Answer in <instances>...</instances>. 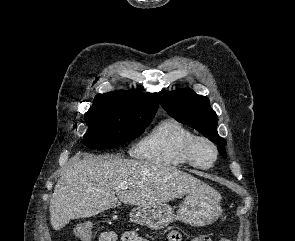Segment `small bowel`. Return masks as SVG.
<instances>
[{
    "instance_id": "1",
    "label": "small bowel",
    "mask_w": 295,
    "mask_h": 241,
    "mask_svg": "<svg viewBox=\"0 0 295 241\" xmlns=\"http://www.w3.org/2000/svg\"><path fill=\"white\" fill-rule=\"evenodd\" d=\"M180 234L176 231L169 233L168 241H175V236ZM99 241H147L138 231L132 230L125 232L121 237H118L114 232L107 231L100 235ZM193 241H210L206 236H200Z\"/></svg>"
}]
</instances>
